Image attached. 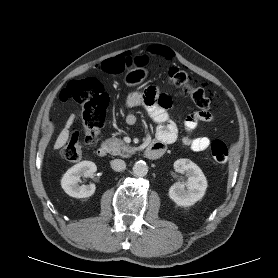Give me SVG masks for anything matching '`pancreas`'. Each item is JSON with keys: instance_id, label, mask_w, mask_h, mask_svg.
<instances>
[{"instance_id": "pancreas-1", "label": "pancreas", "mask_w": 278, "mask_h": 278, "mask_svg": "<svg viewBox=\"0 0 278 278\" xmlns=\"http://www.w3.org/2000/svg\"><path fill=\"white\" fill-rule=\"evenodd\" d=\"M108 147V151L112 155H120L121 157H129L133 153V149L128 147L124 141L119 138H109L104 142Z\"/></svg>"}]
</instances>
